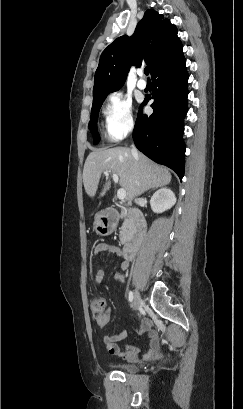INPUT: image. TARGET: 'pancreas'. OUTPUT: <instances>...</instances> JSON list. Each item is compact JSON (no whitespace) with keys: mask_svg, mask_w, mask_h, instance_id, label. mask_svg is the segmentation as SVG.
<instances>
[{"mask_svg":"<svg viewBox=\"0 0 243 409\" xmlns=\"http://www.w3.org/2000/svg\"><path fill=\"white\" fill-rule=\"evenodd\" d=\"M120 218L124 219V221H123L122 226L120 227L119 238H120V242L124 244L131 239L132 232H133V229H132L133 220L127 217V213L125 210L121 211Z\"/></svg>","mask_w":243,"mask_h":409,"instance_id":"pancreas-1","label":"pancreas"}]
</instances>
